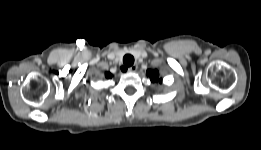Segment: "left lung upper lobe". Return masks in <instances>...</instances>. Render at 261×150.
I'll list each match as a JSON object with an SVG mask.
<instances>
[{
  "label": "left lung upper lobe",
  "mask_w": 261,
  "mask_h": 150,
  "mask_svg": "<svg viewBox=\"0 0 261 150\" xmlns=\"http://www.w3.org/2000/svg\"><path fill=\"white\" fill-rule=\"evenodd\" d=\"M146 74L153 83L162 82V79L159 77L158 70H147Z\"/></svg>",
  "instance_id": "1"
}]
</instances>
